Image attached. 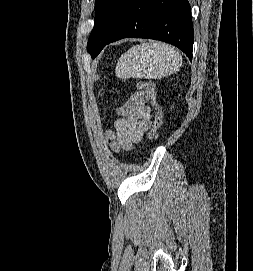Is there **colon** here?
I'll return each instance as SVG.
<instances>
[{
  "label": "colon",
  "instance_id": "colon-1",
  "mask_svg": "<svg viewBox=\"0 0 253 271\" xmlns=\"http://www.w3.org/2000/svg\"><path fill=\"white\" fill-rule=\"evenodd\" d=\"M139 93L146 95L151 98L152 105L155 110L154 123L148 132V139H156L162 130V114L160 105L156 99V89L154 83L150 81H143L139 83Z\"/></svg>",
  "mask_w": 253,
  "mask_h": 271
}]
</instances>
